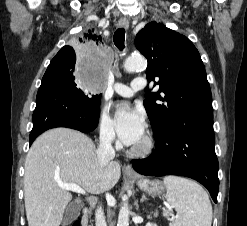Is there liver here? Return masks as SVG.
Instances as JSON below:
<instances>
[{"label":"liver","instance_id":"1","mask_svg":"<svg viewBox=\"0 0 247 226\" xmlns=\"http://www.w3.org/2000/svg\"><path fill=\"white\" fill-rule=\"evenodd\" d=\"M85 134L54 128L40 135L25 159L24 200L28 226H59L72 199L58 183H74L91 194L112 189L121 175L118 162L101 166Z\"/></svg>","mask_w":247,"mask_h":226}]
</instances>
